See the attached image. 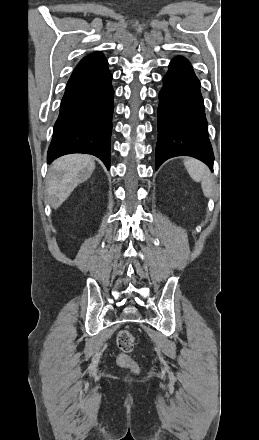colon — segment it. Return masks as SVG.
<instances>
[{
    "mask_svg": "<svg viewBox=\"0 0 259 440\" xmlns=\"http://www.w3.org/2000/svg\"><path fill=\"white\" fill-rule=\"evenodd\" d=\"M117 346L121 351L117 357L118 364L136 372L138 370L137 364L130 356L135 346L134 335L129 330H120L117 335Z\"/></svg>",
    "mask_w": 259,
    "mask_h": 440,
    "instance_id": "obj_1",
    "label": "colon"
}]
</instances>
